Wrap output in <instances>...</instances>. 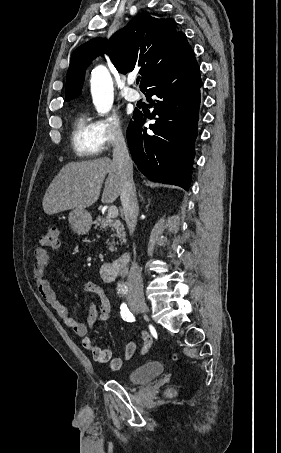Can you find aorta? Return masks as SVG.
Segmentation results:
<instances>
[{
  "label": "aorta",
  "mask_w": 281,
  "mask_h": 453,
  "mask_svg": "<svg viewBox=\"0 0 281 453\" xmlns=\"http://www.w3.org/2000/svg\"><path fill=\"white\" fill-rule=\"evenodd\" d=\"M91 94L98 113L105 114L110 111L114 100L113 82L105 66L99 65L92 70Z\"/></svg>",
  "instance_id": "aorta-1"
}]
</instances>
